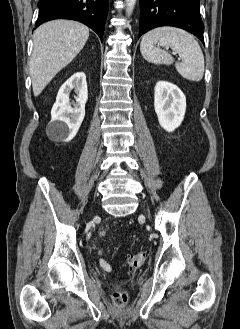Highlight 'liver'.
I'll use <instances>...</instances> for the list:
<instances>
[{
	"label": "liver",
	"instance_id": "liver-1",
	"mask_svg": "<svg viewBox=\"0 0 240 329\" xmlns=\"http://www.w3.org/2000/svg\"><path fill=\"white\" fill-rule=\"evenodd\" d=\"M89 37L85 25L70 20H54L42 24L33 35L30 75L37 97L82 50Z\"/></svg>",
	"mask_w": 240,
	"mask_h": 329
}]
</instances>
